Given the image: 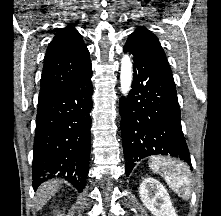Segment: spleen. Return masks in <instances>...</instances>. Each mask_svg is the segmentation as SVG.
Listing matches in <instances>:
<instances>
[{
	"label": "spleen",
	"instance_id": "1",
	"mask_svg": "<svg viewBox=\"0 0 221 216\" xmlns=\"http://www.w3.org/2000/svg\"><path fill=\"white\" fill-rule=\"evenodd\" d=\"M149 167L154 173L164 177L168 186L181 198L188 199L191 195L189 166L172 158L153 157Z\"/></svg>",
	"mask_w": 221,
	"mask_h": 216
}]
</instances>
